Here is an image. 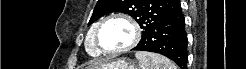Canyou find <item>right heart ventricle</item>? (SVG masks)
I'll return each instance as SVG.
<instances>
[{
	"label": "right heart ventricle",
	"instance_id": "e07e8e85",
	"mask_svg": "<svg viewBox=\"0 0 246 69\" xmlns=\"http://www.w3.org/2000/svg\"><path fill=\"white\" fill-rule=\"evenodd\" d=\"M99 23L100 22H96L95 24L91 26V28L89 29L87 33V37H86V42H85L86 49L88 53L91 54L92 56H98L101 54L100 50L97 48L95 38H94V32Z\"/></svg>",
	"mask_w": 246,
	"mask_h": 69
}]
</instances>
